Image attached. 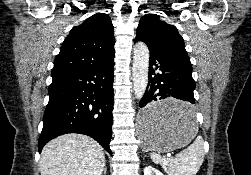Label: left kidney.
<instances>
[{
    "instance_id": "obj_1",
    "label": "left kidney",
    "mask_w": 251,
    "mask_h": 175,
    "mask_svg": "<svg viewBox=\"0 0 251 175\" xmlns=\"http://www.w3.org/2000/svg\"><path fill=\"white\" fill-rule=\"evenodd\" d=\"M144 175H164V173L156 169V167H152V165H146L144 167Z\"/></svg>"
}]
</instances>
